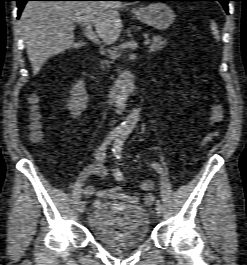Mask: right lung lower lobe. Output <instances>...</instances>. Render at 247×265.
I'll list each match as a JSON object with an SVG mask.
<instances>
[{
    "label": "right lung lower lobe",
    "mask_w": 247,
    "mask_h": 265,
    "mask_svg": "<svg viewBox=\"0 0 247 265\" xmlns=\"http://www.w3.org/2000/svg\"><path fill=\"white\" fill-rule=\"evenodd\" d=\"M18 3V18L27 1H129V0H16Z\"/></svg>",
    "instance_id": "1"
}]
</instances>
